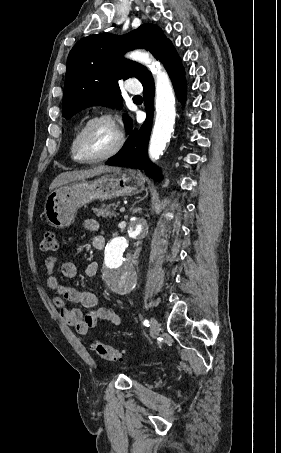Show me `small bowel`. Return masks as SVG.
I'll return each mask as SVG.
<instances>
[{
	"mask_svg": "<svg viewBox=\"0 0 281 453\" xmlns=\"http://www.w3.org/2000/svg\"><path fill=\"white\" fill-rule=\"evenodd\" d=\"M85 232H97L99 223L95 220H85L83 223ZM104 238L95 237L93 244L97 251L102 249ZM57 262L55 256H48L45 261L44 281L47 287L58 293L53 298V306L57 308L62 318L80 335H86L88 331L97 326L101 320H108L115 325H120L121 317L113 309L96 308V296L86 290L76 289L74 287L64 285L59 282L53 268ZM99 270V264L96 261L89 262L84 269L85 277H94ZM61 274L66 279H74L78 276V269L73 261L64 262L61 266ZM66 302L75 303L88 309L89 312L85 315L78 308H69Z\"/></svg>",
	"mask_w": 281,
	"mask_h": 453,
	"instance_id": "c3829d8e",
	"label": "small bowel"
}]
</instances>
